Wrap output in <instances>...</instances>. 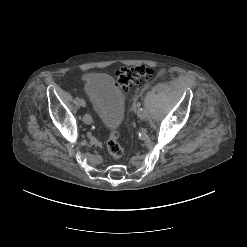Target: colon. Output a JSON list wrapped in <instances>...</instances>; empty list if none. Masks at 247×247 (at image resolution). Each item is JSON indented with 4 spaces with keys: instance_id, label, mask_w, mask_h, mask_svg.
<instances>
[{
    "instance_id": "5ec220e1",
    "label": "colon",
    "mask_w": 247,
    "mask_h": 247,
    "mask_svg": "<svg viewBox=\"0 0 247 247\" xmlns=\"http://www.w3.org/2000/svg\"><path fill=\"white\" fill-rule=\"evenodd\" d=\"M154 75V70L145 66L139 65L134 67L121 68L116 72V81L120 88L124 91H130L133 87L141 82L150 80ZM107 150L109 155L118 160L123 154V149L119 143V133L117 130L110 132L107 141Z\"/></svg>"
}]
</instances>
